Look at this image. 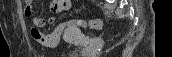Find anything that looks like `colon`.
I'll use <instances>...</instances> for the list:
<instances>
[{"label":"colon","instance_id":"5ec220e1","mask_svg":"<svg viewBox=\"0 0 172 57\" xmlns=\"http://www.w3.org/2000/svg\"><path fill=\"white\" fill-rule=\"evenodd\" d=\"M25 13L27 15H30L31 14V10L30 8H26L25 9ZM76 24L78 25L79 27H82V28H90V29H100L102 27V23L100 20H84V19H78V20H73V21H70L69 23H63V24H60L59 26L56 27L55 31L57 33L59 32H63L66 27L68 26V24Z\"/></svg>","mask_w":172,"mask_h":57}]
</instances>
